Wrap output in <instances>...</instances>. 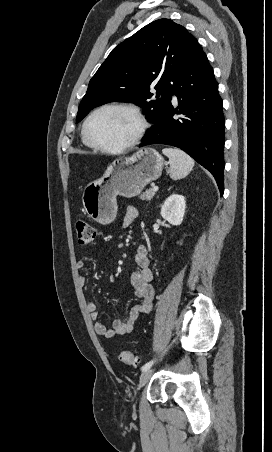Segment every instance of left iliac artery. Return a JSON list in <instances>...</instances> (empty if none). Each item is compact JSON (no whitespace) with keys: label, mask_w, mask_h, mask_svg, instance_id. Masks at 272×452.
Instances as JSON below:
<instances>
[{"label":"left iliac artery","mask_w":272,"mask_h":452,"mask_svg":"<svg viewBox=\"0 0 272 452\" xmlns=\"http://www.w3.org/2000/svg\"><path fill=\"white\" fill-rule=\"evenodd\" d=\"M153 363H154V360L147 362L145 365L142 366L141 370L146 371L153 365Z\"/></svg>","instance_id":"44dca946"}]
</instances>
